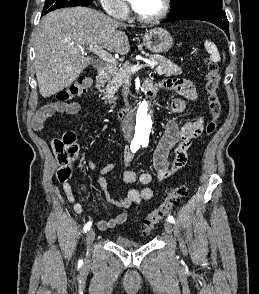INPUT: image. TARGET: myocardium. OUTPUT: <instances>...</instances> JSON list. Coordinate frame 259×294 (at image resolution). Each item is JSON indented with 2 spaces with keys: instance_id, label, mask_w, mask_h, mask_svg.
Segmentation results:
<instances>
[{
  "instance_id": "myocardium-1",
  "label": "myocardium",
  "mask_w": 259,
  "mask_h": 294,
  "mask_svg": "<svg viewBox=\"0 0 259 294\" xmlns=\"http://www.w3.org/2000/svg\"><path fill=\"white\" fill-rule=\"evenodd\" d=\"M171 8V0H162V9L159 13L153 16H142L140 15L134 8H133V14L135 18L143 23H155L162 19H164Z\"/></svg>"
}]
</instances>
